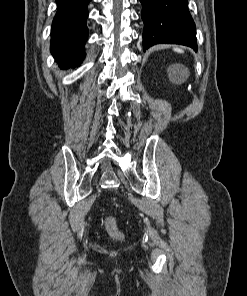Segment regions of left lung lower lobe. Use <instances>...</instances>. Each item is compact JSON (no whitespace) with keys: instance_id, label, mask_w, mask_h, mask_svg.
Here are the masks:
<instances>
[{"instance_id":"left-lung-lower-lobe-1","label":"left lung lower lobe","mask_w":247,"mask_h":296,"mask_svg":"<svg viewBox=\"0 0 247 296\" xmlns=\"http://www.w3.org/2000/svg\"><path fill=\"white\" fill-rule=\"evenodd\" d=\"M144 51L152 45L181 44L197 51L196 27L187 0H140Z\"/></svg>"}]
</instances>
